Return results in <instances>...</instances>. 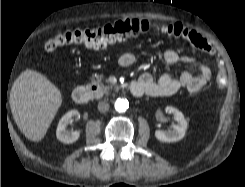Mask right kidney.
<instances>
[{
	"mask_svg": "<svg viewBox=\"0 0 245 187\" xmlns=\"http://www.w3.org/2000/svg\"><path fill=\"white\" fill-rule=\"evenodd\" d=\"M79 117L80 114L77 110H71L60 119L56 130V136L61 142L65 144H70L76 142L79 139V131L67 130V126L71 122V120L73 118Z\"/></svg>",
	"mask_w": 245,
	"mask_h": 187,
	"instance_id": "1",
	"label": "right kidney"
}]
</instances>
